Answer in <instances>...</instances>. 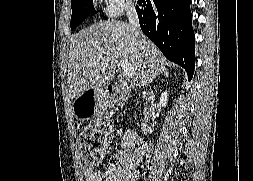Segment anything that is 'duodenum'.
<instances>
[{
    "label": "duodenum",
    "instance_id": "duodenum-1",
    "mask_svg": "<svg viewBox=\"0 0 253 181\" xmlns=\"http://www.w3.org/2000/svg\"><path fill=\"white\" fill-rule=\"evenodd\" d=\"M107 94L111 101L117 102L127 96L126 87L121 84H112L107 87ZM153 130V122L151 116L145 121L143 131L149 133Z\"/></svg>",
    "mask_w": 253,
    "mask_h": 181
}]
</instances>
